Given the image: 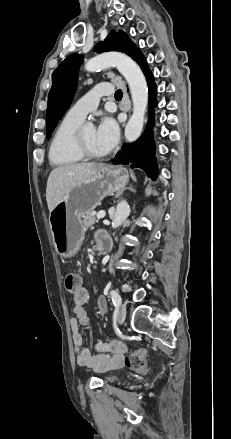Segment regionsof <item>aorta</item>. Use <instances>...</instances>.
Masks as SVG:
<instances>
[{"label": "aorta", "mask_w": 231, "mask_h": 439, "mask_svg": "<svg viewBox=\"0 0 231 439\" xmlns=\"http://www.w3.org/2000/svg\"><path fill=\"white\" fill-rule=\"evenodd\" d=\"M111 66L118 69L130 87L133 113L125 127V138L129 142H134L140 136L144 125V116L148 104L147 82L137 63L121 52H107L97 55L86 62L85 69L92 72ZM129 213V204L125 200L119 202L112 220V228L119 227Z\"/></svg>", "instance_id": "762f6f07"}]
</instances>
